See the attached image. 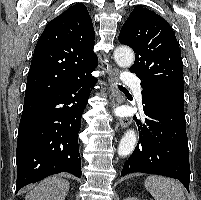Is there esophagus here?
<instances>
[{
	"mask_svg": "<svg viewBox=\"0 0 201 200\" xmlns=\"http://www.w3.org/2000/svg\"><path fill=\"white\" fill-rule=\"evenodd\" d=\"M109 79L111 84L112 97L117 104L123 103V95L117 90L115 84L119 82V70L117 68H112L109 72ZM119 125L122 128H126L131 123V119L127 117L117 118Z\"/></svg>",
	"mask_w": 201,
	"mask_h": 200,
	"instance_id": "1",
	"label": "esophagus"
}]
</instances>
